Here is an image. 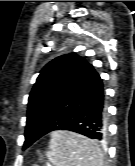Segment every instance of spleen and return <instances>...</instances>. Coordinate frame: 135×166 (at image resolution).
<instances>
[{
    "label": "spleen",
    "mask_w": 135,
    "mask_h": 166,
    "mask_svg": "<svg viewBox=\"0 0 135 166\" xmlns=\"http://www.w3.org/2000/svg\"><path fill=\"white\" fill-rule=\"evenodd\" d=\"M46 157L54 166H103V153L96 141L63 130L51 133Z\"/></svg>",
    "instance_id": "spleen-1"
}]
</instances>
